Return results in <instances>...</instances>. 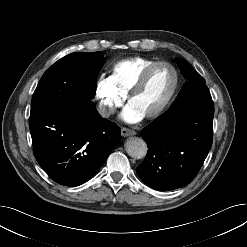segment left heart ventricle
I'll use <instances>...</instances> for the list:
<instances>
[{
  "instance_id": "b2bd125f",
  "label": "left heart ventricle",
  "mask_w": 247,
  "mask_h": 247,
  "mask_svg": "<svg viewBox=\"0 0 247 247\" xmlns=\"http://www.w3.org/2000/svg\"><path fill=\"white\" fill-rule=\"evenodd\" d=\"M174 82L172 70L167 66L155 68L149 75L141 92L129 105L133 106L144 117L155 111L166 100Z\"/></svg>"
}]
</instances>
